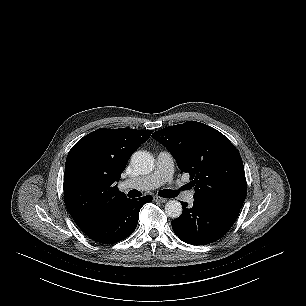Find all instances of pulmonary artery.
<instances>
[{"label":"pulmonary artery","mask_w":306,"mask_h":306,"mask_svg":"<svg viewBox=\"0 0 306 306\" xmlns=\"http://www.w3.org/2000/svg\"><path fill=\"white\" fill-rule=\"evenodd\" d=\"M173 175V157L168 151H160L156 158V165L154 171L136 179L125 180L121 183L124 189H155L165 183L172 181ZM182 194L183 200L187 203L194 201V192L179 190Z\"/></svg>","instance_id":"pulmonary-artery-1"}]
</instances>
